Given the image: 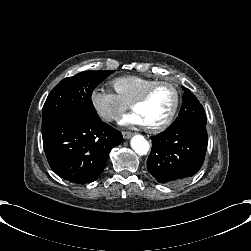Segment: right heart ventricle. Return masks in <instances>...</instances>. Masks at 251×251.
I'll use <instances>...</instances> for the list:
<instances>
[{
	"mask_svg": "<svg viewBox=\"0 0 251 251\" xmlns=\"http://www.w3.org/2000/svg\"><path fill=\"white\" fill-rule=\"evenodd\" d=\"M155 79L143 75H125L112 80L117 95L126 103L132 104Z\"/></svg>",
	"mask_w": 251,
	"mask_h": 251,
	"instance_id": "obj_1",
	"label": "right heart ventricle"
}]
</instances>
